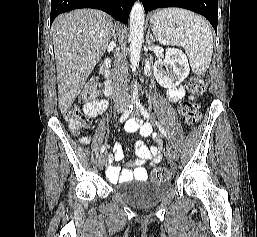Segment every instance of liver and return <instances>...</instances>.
<instances>
[{
  "label": "liver",
  "instance_id": "liver-1",
  "mask_svg": "<svg viewBox=\"0 0 257 237\" xmlns=\"http://www.w3.org/2000/svg\"><path fill=\"white\" fill-rule=\"evenodd\" d=\"M52 31L59 109L66 113L105 53L115 26L102 11L80 9L59 15Z\"/></svg>",
  "mask_w": 257,
  "mask_h": 237
}]
</instances>
